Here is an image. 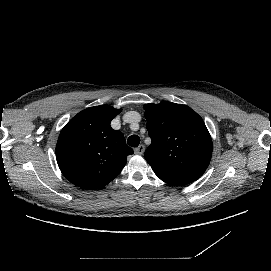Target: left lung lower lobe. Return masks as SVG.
Wrapping results in <instances>:
<instances>
[{
  "mask_svg": "<svg viewBox=\"0 0 271 271\" xmlns=\"http://www.w3.org/2000/svg\"><path fill=\"white\" fill-rule=\"evenodd\" d=\"M155 174L164 182L174 185L182 186L194 182L200 176L196 174L184 173L174 170L162 169L155 166H152Z\"/></svg>",
  "mask_w": 271,
  "mask_h": 271,
  "instance_id": "obj_1",
  "label": "left lung lower lobe"
}]
</instances>
